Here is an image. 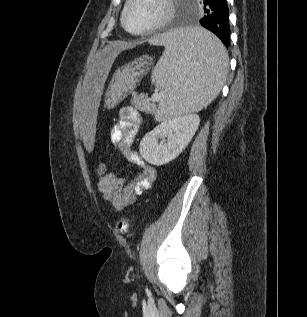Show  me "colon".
<instances>
[{
  "label": "colon",
  "instance_id": "1",
  "mask_svg": "<svg viewBox=\"0 0 307 317\" xmlns=\"http://www.w3.org/2000/svg\"><path fill=\"white\" fill-rule=\"evenodd\" d=\"M95 171L99 178L102 177L103 175L107 173V164L103 161L98 162L96 165ZM128 228H129V221L126 217H121L117 220L115 224V231L118 234L120 235L126 234L128 231Z\"/></svg>",
  "mask_w": 307,
  "mask_h": 317
}]
</instances>
